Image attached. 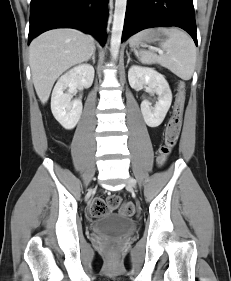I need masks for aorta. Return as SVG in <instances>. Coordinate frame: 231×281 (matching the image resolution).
I'll return each instance as SVG.
<instances>
[{
    "instance_id": "762f6f07",
    "label": "aorta",
    "mask_w": 231,
    "mask_h": 281,
    "mask_svg": "<svg viewBox=\"0 0 231 281\" xmlns=\"http://www.w3.org/2000/svg\"><path fill=\"white\" fill-rule=\"evenodd\" d=\"M126 6H127V0L115 1V11H114L111 42H110V52H111L112 59L114 60H116L119 55Z\"/></svg>"
}]
</instances>
